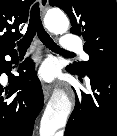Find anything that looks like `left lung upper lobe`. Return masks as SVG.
Wrapping results in <instances>:
<instances>
[{
	"label": "left lung upper lobe",
	"mask_w": 117,
	"mask_h": 136,
	"mask_svg": "<svg viewBox=\"0 0 117 136\" xmlns=\"http://www.w3.org/2000/svg\"><path fill=\"white\" fill-rule=\"evenodd\" d=\"M71 20V33L83 36L88 61L68 66L80 76L94 65H117V5L115 0H49Z\"/></svg>",
	"instance_id": "5c2ea615"
}]
</instances>
